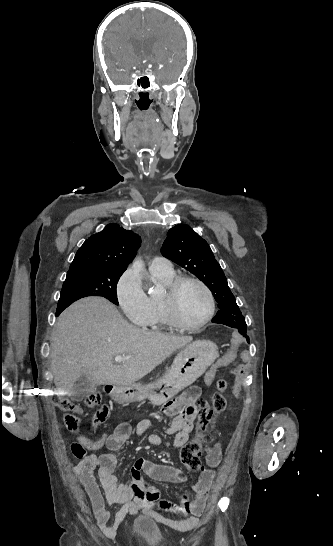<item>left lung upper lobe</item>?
<instances>
[{"label":"left lung upper lobe","mask_w":333,"mask_h":546,"mask_svg":"<svg viewBox=\"0 0 333 546\" xmlns=\"http://www.w3.org/2000/svg\"><path fill=\"white\" fill-rule=\"evenodd\" d=\"M161 253L193 273L211 290L220 308L216 315L221 314L232 327H247L211 248L190 226L179 224L171 228L162 245Z\"/></svg>","instance_id":"1"}]
</instances>
